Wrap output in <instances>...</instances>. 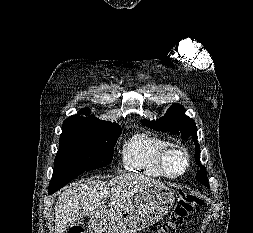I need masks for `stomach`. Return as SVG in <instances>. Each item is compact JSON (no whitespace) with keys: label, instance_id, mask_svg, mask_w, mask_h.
Wrapping results in <instances>:
<instances>
[{"label":"stomach","instance_id":"stomach-1","mask_svg":"<svg viewBox=\"0 0 253 233\" xmlns=\"http://www.w3.org/2000/svg\"><path fill=\"white\" fill-rule=\"evenodd\" d=\"M174 203V194L166 186L152 185L129 200L90 220L91 233H136L161 220Z\"/></svg>","mask_w":253,"mask_h":233}]
</instances>
